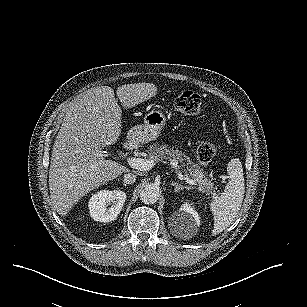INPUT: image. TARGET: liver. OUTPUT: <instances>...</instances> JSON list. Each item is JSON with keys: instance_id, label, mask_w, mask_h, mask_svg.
<instances>
[{"instance_id": "obj_1", "label": "liver", "mask_w": 307, "mask_h": 307, "mask_svg": "<svg viewBox=\"0 0 307 307\" xmlns=\"http://www.w3.org/2000/svg\"><path fill=\"white\" fill-rule=\"evenodd\" d=\"M151 83L121 85L116 93L124 106L154 96ZM121 108L109 86L95 87L69 105L52 148L49 190L52 206L65 215L73 204L96 186L127 172L107 160L102 147L114 143L120 131Z\"/></svg>"}]
</instances>
